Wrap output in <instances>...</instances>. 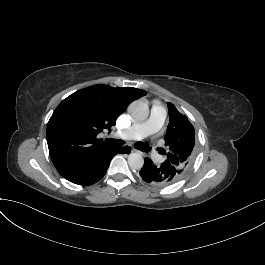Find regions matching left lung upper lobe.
Wrapping results in <instances>:
<instances>
[{
  "mask_svg": "<svg viewBox=\"0 0 265 265\" xmlns=\"http://www.w3.org/2000/svg\"><path fill=\"white\" fill-rule=\"evenodd\" d=\"M169 110V124L165 135V146L168 151L162 150L166 154L165 162L173 165L181 178L187 171L194 154L195 133L194 127L188 118L180 113L177 108L167 102Z\"/></svg>",
  "mask_w": 265,
  "mask_h": 265,
  "instance_id": "obj_1",
  "label": "left lung upper lobe"
}]
</instances>
